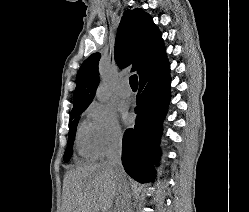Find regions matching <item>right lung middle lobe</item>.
I'll return each mask as SVG.
<instances>
[{
  "label": "right lung middle lobe",
  "instance_id": "right-lung-middle-lobe-1",
  "mask_svg": "<svg viewBox=\"0 0 249 212\" xmlns=\"http://www.w3.org/2000/svg\"><path fill=\"white\" fill-rule=\"evenodd\" d=\"M86 108L72 110L70 113V123H69V134H68V144L64 153V162H68L72 156L73 142L76 133V127L80 119V115L85 111Z\"/></svg>",
  "mask_w": 249,
  "mask_h": 212
}]
</instances>
